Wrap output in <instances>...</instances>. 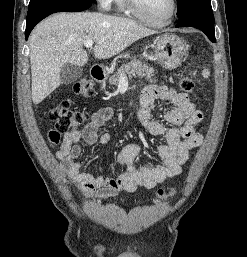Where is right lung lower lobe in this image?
<instances>
[{
  "label": "right lung lower lobe",
  "instance_id": "obj_1",
  "mask_svg": "<svg viewBox=\"0 0 247 257\" xmlns=\"http://www.w3.org/2000/svg\"><path fill=\"white\" fill-rule=\"evenodd\" d=\"M92 3H80L72 1H55L41 3L33 7L28 8L26 19V40L34 26L45 17L56 12H79L86 10Z\"/></svg>",
  "mask_w": 247,
  "mask_h": 257
}]
</instances>
